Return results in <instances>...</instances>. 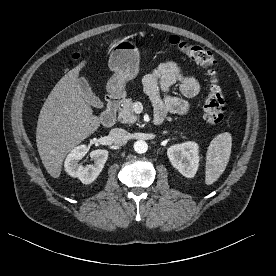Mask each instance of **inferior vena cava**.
<instances>
[{"label":"inferior vena cava","instance_id":"obj_1","mask_svg":"<svg viewBox=\"0 0 276 276\" xmlns=\"http://www.w3.org/2000/svg\"><path fill=\"white\" fill-rule=\"evenodd\" d=\"M110 137L114 144L125 145L128 141L127 131L121 128H114L110 131Z\"/></svg>","mask_w":276,"mask_h":276}]
</instances>
